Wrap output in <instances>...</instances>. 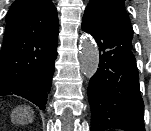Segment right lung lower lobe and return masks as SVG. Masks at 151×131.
<instances>
[{"label":"right lung lower lobe","instance_id":"right-lung-lower-lobe-1","mask_svg":"<svg viewBox=\"0 0 151 131\" xmlns=\"http://www.w3.org/2000/svg\"><path fill=\"white\" fill-rule=\"evenodd\" d=\"M56 49L57 45L51 49L46 64L40 70L8 87L0 88V96L15 94L26 98L44 110L55 69Z\"/></svg>","mask_w":151,"mask_h":131}]
</instances>
